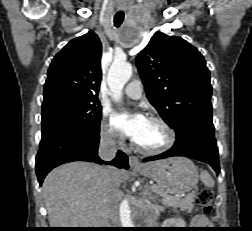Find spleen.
<instances>
[{
	"label": "spleen",
	"mask_w": 252,
	"mask_h": 231,
	"mask_svg": "<svg viewBox=\"0 0 252 231\" xmlns=\"http://www.w3.org/2000/svg\"><path fill=\"white\" fill-rule=\"evenodd\" d=\"M200 178L202 182L205 184V186L210 187V188L214 187L215 185L214 180L207 171L201 170Z\"/></svg>",
	"instance_id": "3e777b00"
}]
</instances>
